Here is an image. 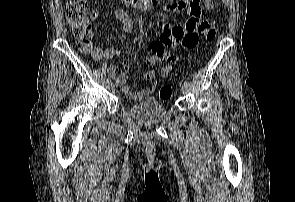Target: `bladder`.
Segmentation results:
<instances>
[{
	"instance_id": "1",
	"label": "bladder",
	"mask_w": 295,
	"mask_h": 202,
	"mask_svg": "<svg viewBox=\"0 0 295 202\" xmlns=\"http://www.w3.org/2000/svg\"><path fill=\"white\" fill-rule=\"evenodd\" d=\"M167 114L165 104L156 97H151L128 108V115L135 121L153 124L162 121Z\"/></svg>"
}]
</instances>
